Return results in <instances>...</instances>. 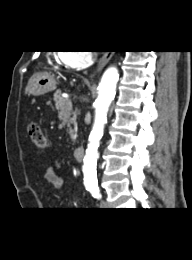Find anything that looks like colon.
I'll return each mask as SVG.
<instances>
[{
  "label": "colon",
  "instance_id": "obj_1",
  "mask_svg": "<svg viewBox=\"0 0 192 260\" xmlns=\"http://www.w3.org/2000/svg\"><path fill=\"white\" fill-rule=\"evenodd\" d=\"M28 134L33 146L39 151H43L48 146V139L43 129L36 123L28 126Z\"/></svg>",
  "mask_w": 192,
  "mask_h": 260
}]
</instances>
